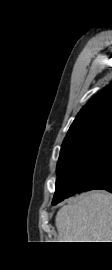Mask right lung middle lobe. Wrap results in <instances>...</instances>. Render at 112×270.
Returning <instances> with one entry per match:
<instances>
[{"mask_svg": "<svg viewBox=\"0 0 112 270\" xmlns=\"http://www.w3.org/2000/svg\"><path fill=\"white\" fill-rule=\"evenodd\" d=\"M111 143L112 123L98 125L63 141L57 163L53 205L83 191L84 172L101 159Z\"/></svg>", "mask_w": 112, "mask_h": 270, "instance_id": "right-lung-middle-lobe-1", "label": "right lung middle lobe"}]
</instances>
